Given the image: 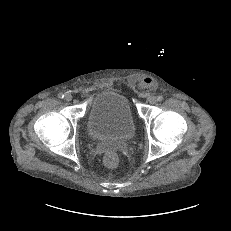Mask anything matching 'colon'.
Returning a JSON list of instances; mask_svg holds the SVG:
<instances>
[{
  "mask_svg": "<svg viewBox=\"0 0 231 231\" xmlns=\"http://www.w3.org/2000/svg\"><path fill=\"white\" fill-rule=\"evenodd\" d=\"M104 163L111 168L116 167L119 164V156L117 153L115 152H108L105 156H104Z\"/></svg>",
  "mask_w": 231,
  "mask_h": 231,
  "instance_id": "5ec220e1",
  "label": "colon"
}]
</instances>
